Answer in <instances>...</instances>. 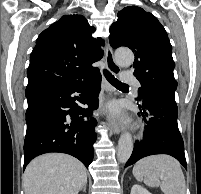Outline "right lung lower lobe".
<instances>
[{"label":"right lung lower lobe","instance_id":"1","mask_svg":"<svg viewBox=\"0 0 201 194\" xmlns=\"http://www.w3.org/2000/svg\"><path fill=\"white\" fill-rule=\"evenodd\" d=\"M101 75L97 71L72 86L41 84L27 87V132L24 141V167L36 156L61 152L78 158L86 167L93 160L96 120H84L98 108ZM78 92L80 98L74 96ZM78 100L88 108H82Z\"/></svg>","mask_w":201,"mask_h":194}]
</instances>
